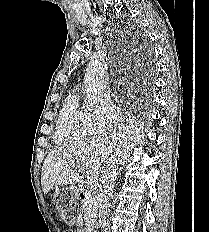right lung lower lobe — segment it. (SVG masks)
Masks as SVG:
<instances>
[{
	"instance_id": "98d812e1",
	"label": "right lung lower lobe",
	"mask_w": 209,
	"mask_h": 232,
	"mask_svg": "<svg viewBox=\"0 0 209 232\" xmlns=\"http://www.w3.org/2000/svg\"><path fill=\"white\" fill-rule=\"evenodd\" d=\"M140 59L142 62H144V64L147 65V76L150 75L151 69H152V52L151 50L147 47V46H143L140 49Z\"/></svg>"
}]
</instances>
